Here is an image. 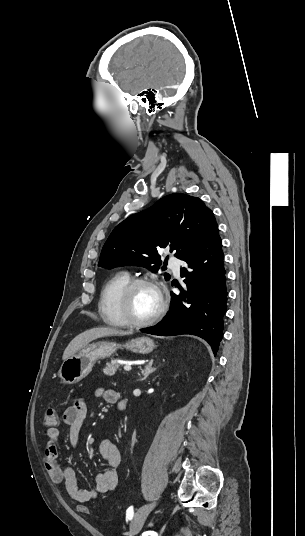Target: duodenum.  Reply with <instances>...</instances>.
<instances>
[{
	"mask_svg": "<svg viewBox=\"0 0 305 536\" xmlns=\"http://www.w3.org/2000/svg\"><path fill=\"white\" fill-rule=\"evenodd\" d=\"M114 402H117L118 404L122 405L123 402H122V399L121 397L117 394L116 397L114 398Z\"/></svg>",
	"mask_w": 305,
	"mask_h": 536,
	"instance_id": "duodenum-1",
	"label": "duodenum"
}]
</instances>
